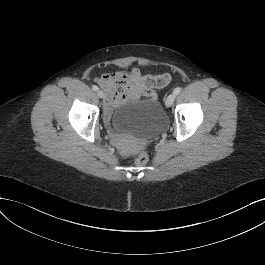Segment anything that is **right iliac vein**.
<instances>
[{
    "instance_id": "63e3f726",
    "label": "right iliac vein",
    "mask_w": 265,
    "mask_h": 265,
    "mask_svg": "<svg viewBox=\"0 0 265 265\" xmlns=\"http://www.w3.org/2000/svg\"><path fill=\"white\" fill-rule=\"evenodd\" d=\"M97 95H98V97L101 98V99H103V98L105 97L104 92L101 91V90L97 91Z\"/></svg>"
}]
</instances>
